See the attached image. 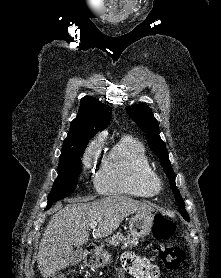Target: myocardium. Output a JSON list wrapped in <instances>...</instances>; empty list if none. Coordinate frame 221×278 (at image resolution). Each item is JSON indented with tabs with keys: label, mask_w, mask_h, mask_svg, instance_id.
Masks as SVG:
<instances>
[{
	"label": "myocardium",
	"mask_w": 221,
	"mask_h": 278,
	"mask_svg": "<svg viewBox=\"0 0 221 278\" xmlns=\"http://www.w3.org/2000/svg\"><path fill=\"white\" fill-rule=\"evenodd\" d=\"M143 183L150 195H156L162 189V181L159 175L153 170L144 174Z\"/></svg>",
	"instance_id": "1"
}]
</instances>
